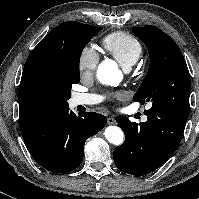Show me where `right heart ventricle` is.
Listing matches in <instances>:
<instances>
[{
	"mask_svg": "<svg viewBox=\"0 0 199 199\" xmlns=\"http://www.w3.org/2000/svg\"><path fill=\"white\" fill-rule=\"evenodd\" d=\"M105 50L125 69H130L142 56L141 42L129 33L117 31L102 40Z\"/></svg>",
	"mask_w": 199,
	"mask_h": 199,
	"instance_id": "e07e8e85",
	"label": "right heart ventricle"
}]
</instances>
